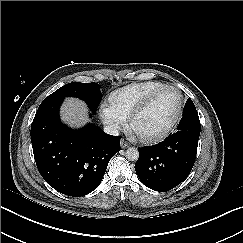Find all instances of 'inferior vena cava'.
Returning a JSON list of instances; mask_svg holds the SVG:
<instances>
[{
	"instance_id": "obj_1",
	"label": "inferior vena cava",
	"mask_w": 243,
	"mask_h": 243,
	"mask_svg": "<svg viewBox=\"0 0 243 243\" xmlns=\"http://www.w3.org/2000/svg\"><path fill=\"white\" fill-rule=\"evenodd\" d=\"M104 132L106 134L112 135V136H118L119 135V129L118 126L115 124H111V125H106L104 127Z\"/></svg>"
}]
</instances>
